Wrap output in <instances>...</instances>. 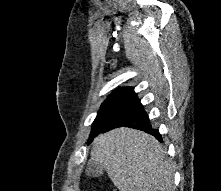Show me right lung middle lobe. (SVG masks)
<instances>
[{"label":"right lung middle lobe","instance_id":"obj_1","mask_svg":"<svg viewBox=\"0 0 221 191\" xmlns=\"http://www.w3.org/2000/svg\"><path fill=\"white\" fill-rule=\"evenodd\" d=\"M115 103H116V101H110L107 103H103L101 105V108L98 111V115L93 122L91 134H90L88 141H91L92 139H94V137H96L98 135V133L101 130L103 120L105 119V117L107 116V114L109 113V111L111 110L112 106Z\"/></svg>","mask_w":221,"mask_h":191}]
</instances>
